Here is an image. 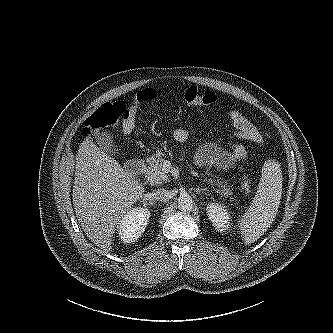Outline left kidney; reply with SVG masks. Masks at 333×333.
<instances>
[{"instance_id":"left-kidney-1","label":"left kidney","mask_w":333,"mask_h":333,"mask_svg":"<svg viewBox=\"0 0 333 333\" xmlns=\"http://www.w3.org/2000/svg\"><path fill=\"white\" fill-rule=\"evenodd\" d=\"M206 210L215 229L223 232L230 228V215L225 205L212 202L207 205Z\"/></svg>"}]
</instances>
